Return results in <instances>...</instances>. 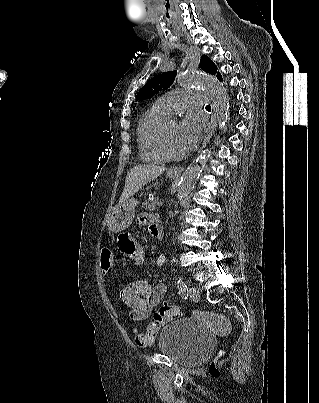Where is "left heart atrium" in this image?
Masks as SVG:
<instances>
[{
    "mask_svg": "<svg viewBox=\"0 0 319 403\" xmlns=\"http://www.w3.org/2000/svg\"><path fill=\"white\" fill-rule=\"evenodd\" d=\"M201 122L195 114H189L179 125V141L185 150L198 143L201 136Z\"/></svg>",
    "mask_w": 319,
    "mask_h": 403,
    "instance_id": "obj_1",
    "label": "left heart atrium"
}]
</instances>
